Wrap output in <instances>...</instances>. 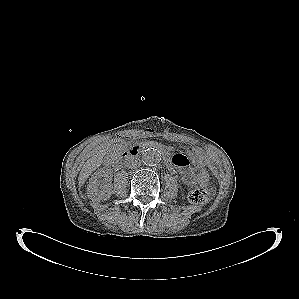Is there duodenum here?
I'll use <instances>...</instances> for the list:
<instances>
[{"mask_svg":"<svg viewBox=\"0 0 299 299\" xmlns=\"http://www.w3.org/2000/svg\"><path fill=\"white\" fill-rule=\"evenodd\" d=\"M141 150H142L141 145H133V146L129 147L119 156V158L117 159V164L123 165V164L127 163L131 159L137 157L139 155V153L141 152ZM166 163L168 166H170L171 160L167 158Z\"/></svg>","mask_w":299,"mask_h":299,"instance_id":"1","label":"duodenum"}]
</instances>
